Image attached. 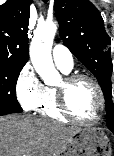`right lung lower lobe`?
<instances>
[{
    "instance_id": "98d812e1",
    "label": "right lung lower lobe",
    "mask_w": 114,
    "mask_h": 156,
    "mask_svg": "<svg viewBox=\"0 0 114 156\" xmlns=\"http://www.w3.org/2000/svg\"><path fill=\"white\" fill-rule=\"evenodd\" d=\"M5 115V113H0V116Z\"/></svg>"
}]
</instances>
